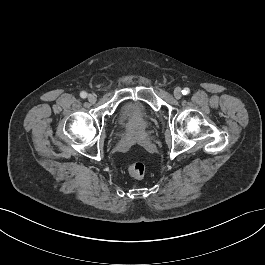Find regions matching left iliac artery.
<instances>
[{
    "label": "left iliac artery",
    "mask_w": 265,
    "mask_h": 265,
    "mask_svg": "<svg viewBox=\"0 0 265 265\" xmlns=\"http://www.w3.org/2000/svg\"><path fill=\"white\" fill-rule=\"evenodd\" d=\"M189 92H190L189 88H185V89L182 90V94H183V95H186V94H188Z\"/></svg>",
    "instance_id": "obj_1"
}]
</instances>
